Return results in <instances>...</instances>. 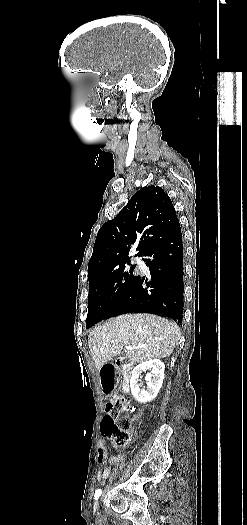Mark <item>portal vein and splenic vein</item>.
Masks as SVG:
<instances>
[{"instance_id":"portal-vein-and-splenic-vein-1","label":"portal vein and splenic vein","mask_w":247,"mask_h":525,"mask_svg":"<svg viewBox=\"0 0 247 525\" xmlns=\"http://www.w3.org/2000/svg\"><path fill=\"white\" fill-rule=\"evenodd\" d=\"M143 348V345H127L126 351H132V349Z\"/></svg>"}]
</instances>
